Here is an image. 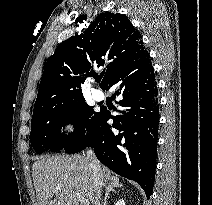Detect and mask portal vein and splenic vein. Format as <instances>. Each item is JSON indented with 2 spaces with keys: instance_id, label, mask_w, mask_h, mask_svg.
<instances>
[{
  "instance_id": "1",
  "label": "portal vein and splenic vein",
  "mask_w": 212,
  "mask_h": 205,
  "mask_svg": "<svg viewBox=\"0 0 212 205\" xmlns=\"http://www.w3.org/2000/svg\"><path fill=\"white\" fill-rule=\"evenodd\" d=\"M57 189H60V187L58 186ZM76 197L78 198V200L81 202L82 205H89L90 202L88 199H85L81 196V194H79L78 192H75Z\"/></svg>"
}]
</instances>
